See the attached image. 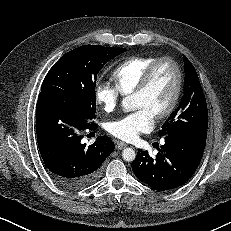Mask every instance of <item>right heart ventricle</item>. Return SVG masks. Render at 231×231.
<instances>
[{"instance_id":"obj_1","label":"right heart ventricle","mask_w":231,"mask_h":231,"mask_svg":"<svg viewBox=\"0 0 231 231\" xmlns=\"http://www.w3.org/2000/svg\"><path fill=\"white\" fill-rule=\"evenodd\" d=\"M156 59L155 56H139L122 62L112 73V79L119 92L122 95L132 94L147 67Z\"/></svg>"}]
</instances>
